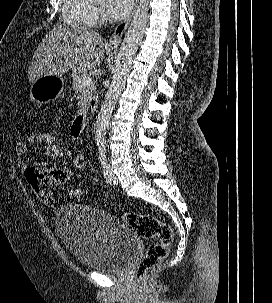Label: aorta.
Masks as SVG:
<instances>
[{"mask_svg": "<svg viewBox=\"0 0 272 303\" xmlns=\"http://www.w3.org/2000/svg\"><path fill=\"white\" fill-rule=\"evenodd\" d=\"M148 4L149 0H139V5L122 42L112 83L105 95L97 118L95 142L98 146H104L106 143L113 108L125 86L132 58L141 44L148 21Z\"/></svg>", "mask_w": 272, "mask_h": 303, "instance_id": "aorta-1", "label": "aorta"}]
</instances>
